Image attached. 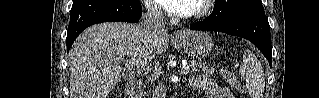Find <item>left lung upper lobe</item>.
Returning <instances> with one entry per match:
<instances>
[{
	"mask_svg": "<svg viewBox=\"0 0 319 98\" xmlns=\"http://www.w3.org/2000/svg\"><path fill=\"white\" fill-rule=\"evenodd\" d=\"M262 5L261 0H216L214 10L210 16L204 19L207 22L224 20L241 9L252 6Z\"/></svg>",
	"mask_w": 319,
	"mask_h": 98,
	"instance_id": "5c2ea615",
	"label": "left lung upper lobe"
}]
</instances>
